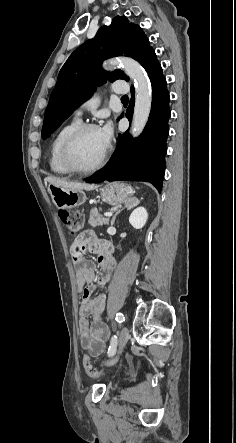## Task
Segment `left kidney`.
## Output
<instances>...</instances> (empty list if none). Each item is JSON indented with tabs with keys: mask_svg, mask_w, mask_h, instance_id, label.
<instances>
[{
	"mask_svg": "<svg viewBox=\"0 0 236 443\" xmlns=\"http://www.w3.org/2000/svg\"><path fill=\"white\" fill-rule=\"evenodd\" d=\"M148 219V213L144 207L136 208L129 217V223L135 229H141Z\"/></svg>",
	"mask_w": 236,
	"mask_h": 443,
	"instance_id": "1",
	"label": "left kidney"
}]
</instances>
